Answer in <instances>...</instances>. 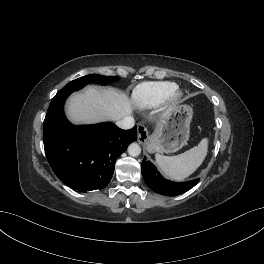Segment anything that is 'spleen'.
Returning <instances> with one entry per match:
<instances>
[{
  "mask_svg": "<svg viewBox=\"0 0 264 264\" xmlns=\"http://www.w3.org/2000/svg\"><path fill=\"white\" fill-rule=\"evenodd\" d=\"M208 138L198 146L176 156L156 155V162L163 174L175 181H182L193 174L204 161L208 152Z\"/></svg>",
  "mask_w": 264,
  "mask_h": 264,
  "instance_id": "1",
  "label": "spleen"
}]
</instances>
